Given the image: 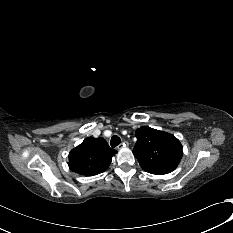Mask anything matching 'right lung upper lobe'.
Instances as JSON below:
<instances>
[{
    "label": "right lung upper lobe",
    "instance_id": "1",
    "mask_svg": "<svg viewBox=\"0 0 233 233\" xmlns=\"http://www.w3.org/2000/svg\"><path fill=\"white\" fill-rule=\"evenodd\" d=\"M116 153L104 138L88 137L69 153V168L80 175H97L109 167Z\"/></svg>",
    "mask_w": 233,
    "mask_h": 233
}]
</instances>
